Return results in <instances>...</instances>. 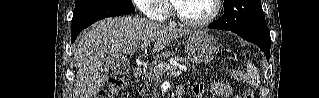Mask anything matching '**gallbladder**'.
<instances>
[{
  "mask_svg": "<svg viewBox=\"0 0 319 98\" xmlns=\"http://www.w3.org/2000/svg\"><path fill=\"white\" fill-rule=\"evenodd\" d=\"M101 68L105 73H121L128 68L127 59L107 56L101 60Z\"/></svg>",
  "mask_w": 319,
  "mask_h": 98,
  "instance_id": "bac80fb5",
  "label": "gallbladder"
}]
</instances>
